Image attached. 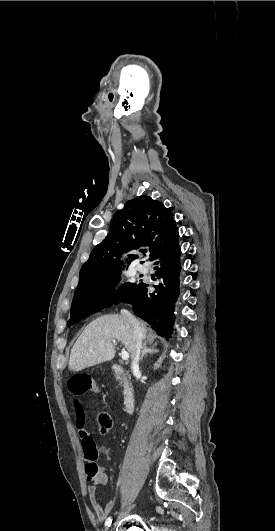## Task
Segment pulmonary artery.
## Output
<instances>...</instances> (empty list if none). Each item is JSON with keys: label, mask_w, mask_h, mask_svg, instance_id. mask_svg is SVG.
<instances>
[{"label": "pulmonary artery", "mask_w": 275, "mask_h": 531, "mask_svg": "<svg viewBox=\"0 0 275 531\" xmlns=\"http://www.w3.org/2000/svg\"><path fill=\"white\" fill-rule=\"evenodd\" d=\"M138 271L144 275H148L149 273V266L146 263L140 264L138 266Z\"/></svg>", "instance_id": "obj_1"}]
</instances>
